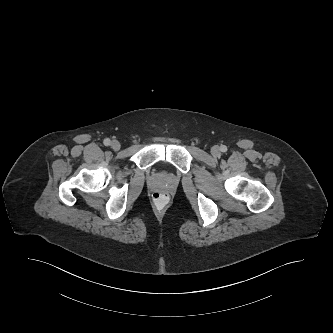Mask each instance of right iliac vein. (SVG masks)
I'll use <instances>...</instances> for the list:
<instances>
[{"instance_id": "1", "label": "right iliac vein", "mask_w": 333, "mask_h": 333, "mask_svg": "<svg viewBox=\"0 0 333 333\" xmlns=\"http://www.w3.org/2000/svg\"><path fill=\"white\" fill-rule=\"evenodd\" d=\"M121 147L120 143L117 140L111 142V148L115 151L119 150Z\"/></svg>"}]
</instances>
